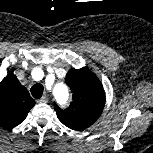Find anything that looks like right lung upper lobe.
<instances>
[{"instance_id":"right-lung-upper-lobe-1","label":"right lung upper lobe","mask_w":153,"mask_h":153,"mask_svg":"<svg viewBox=\"0 0 153 153\" xmlns=\"http://www.w3.org/2000/svg\"><path fill=\"white\" fill-rule=\"evenodd\" d=\"M34 105L28 90L10 72L0 83V123L7 128L19 125Z\"/></svg>"}]
</instances>
